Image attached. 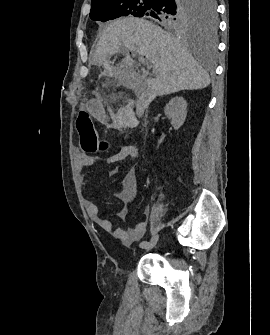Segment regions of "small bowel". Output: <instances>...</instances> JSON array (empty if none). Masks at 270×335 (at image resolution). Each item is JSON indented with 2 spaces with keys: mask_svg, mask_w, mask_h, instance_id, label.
Returning a JSON list of instances; mask_svg holds the SVG:
<instances>
[{
  "mask_svg": "<svg viewBox=\"0 0 270 335\" xmlns=\"http://www.w3.org/2000/svg\"><path fill=\"white\" fill-rule=\"evenodd\" d=\"M94 102L91 100L88 107H92ZM94 117L101 119L104 117L102 112L92 109ZM138 156V149L134 145L123 146L117 153L108 159V163H117L125 159H135ZM97 161V157L88 154H79L76 159V167L81 176L83 183L89 179L86 169ZM124 189L120 195L123 208L116 212V216L120 219H127L129 206L134 202L138 193V180L136 170L130 168L127 170L123 179ZM87 212L90 218L105 232L117 237L123 244L130 245L139 241L145 234L147 223L145 221L137 223L131 229L115 228L113 223L100 216L98 207L91 201L86 203Z\"/></svg>",
  "mask_w": 270,
  "mask_h": 335,
  "instance_id": "c3829d8e",
  "label": "small bowel"
}]
</instances>
